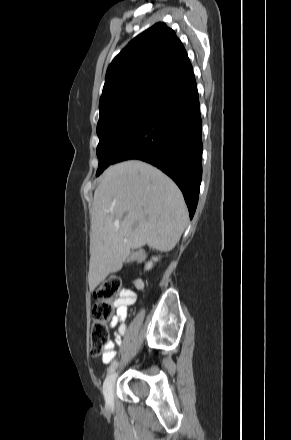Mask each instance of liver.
I'll return each mask as SVG.
<instances>
[{
    "label": "liver",
    "instance_id": "6515ba94",
    "mask_svg": "<svg viewBox=\"0 0 291 440\" xmlns=\"http://www.w3.org/2000/svg\"><path fill=\"white\" fill-rule=\"evenodd\" d=\"M187 223L183 195L162 171L139 160L108 167L94 192L90 290L121 270L131 249L147 244L161 252L171 251Z\"/></svg>",
    "mask_w": 291,
    "mask_h": 440
}]
</instances>
